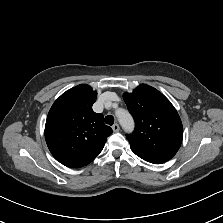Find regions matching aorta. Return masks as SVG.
I'll list each match as a JSON object with an SVG mask.
<instances>
[{
	"label": "aorta",
	"mask_w": 223,
	"mask_h": 223,
	"mask_svg": "<svg viewBox=\"0 0 223 223\" xmlns=\"http://www.w3.org/2000/svg\"><path fill=\"white\" fill-rule=\"evenodd\" d=\"M120 123L122 124L123 127L125 128H131L133 126V121L131 117L124 113L122 116L119 117Z\"/></svg>",
	"instance_id": "aorta-1"
}]
</instances>
